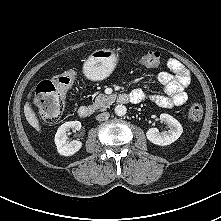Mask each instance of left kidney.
Instances as JSON below:
<instances>
[{
    "mask_svg": "<svg viewBox=\"0 0 221 221\" xmlns=\"http://www.w3.org/2000/svg\"><path fill=\"white\" fill-rule=\"evenodd\" d=\"M160 120L168 125L169 130L159 132L157 128H150L146 133L147 139L159 146L170 145L180 137L183 128L181 124L169 114H161Z\"/></svg>",
    "mask_w": 221,
    "mask_h": 221,
    "instance_id": "1",
    "label": "left kidney"
}]
</instances>
